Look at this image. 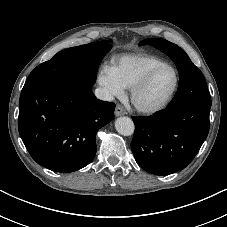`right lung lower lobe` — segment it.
<instances>
[{"instance_id":"98d812e1","label":"right lung lower lobe","mask_w":227,"mask_h":227,"mask_svg":"<svg viewBox=\"0 0 227 227\" xmlns=\"http://www.w3.org/2000/svg\"><path fill=\"white\" fill-rule=\"evenodd\" d=\"M114 109V103L96 99L88 83L41 85L20 96L19 134L39 165L73 172L93 159L96 133L113 120Z\"/></svg>"}]
</instances>
